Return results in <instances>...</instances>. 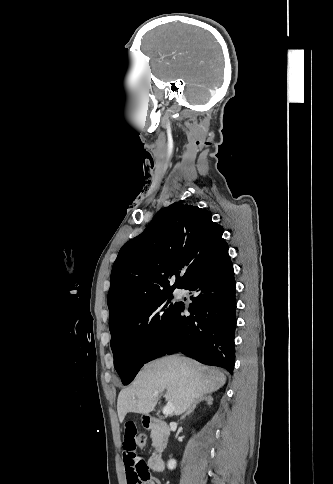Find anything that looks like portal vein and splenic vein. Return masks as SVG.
Segmentation results:
<instances>
[{"mask_svg": "<svg viewBox=\"0 0 333 484\" xmlns=\"http://www.w3.org/2000/svg\"><path fill=\"white\" fill-rule=\"evenodd\" d=\"M155 397H158V393H154ZM175 410L173 403H168L162 410L164 415H171Z\"/></svg>", "mask_w": 333, "mask_h": 484, "instance_id": "obj_1", "label": "portal vein and splenic vein"}]
</instances>
